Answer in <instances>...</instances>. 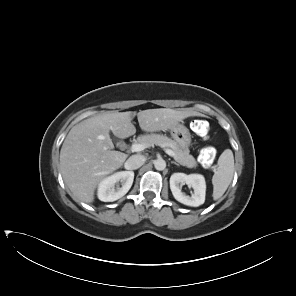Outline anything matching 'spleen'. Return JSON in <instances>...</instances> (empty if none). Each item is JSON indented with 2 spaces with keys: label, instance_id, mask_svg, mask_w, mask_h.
I'll list each match as a JSON object with an SVG mask.
<instances>
[{
  "label": "spleen",
  "instance_id": "1",
  "mask_svg": "<svg viewBox=\"0 0 296 296\" xmlns=\"http://www.w3.org/2000/svg\"><path fill=\"white\" fill-rule=\"evenodd\" d=\"M234 173V156L230 149H226L219 157L217 168L212 177L213 199L223 196L230 185Z\"/></svg>",
  "mask_w": 296,
  "mask_h": 296
}]
</instances>
